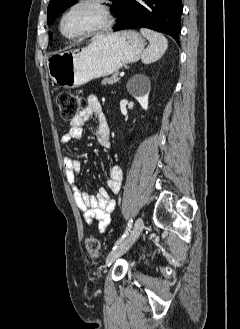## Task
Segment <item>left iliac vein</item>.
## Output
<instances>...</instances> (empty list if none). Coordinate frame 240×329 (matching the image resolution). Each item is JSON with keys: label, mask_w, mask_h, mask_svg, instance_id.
Masks as SVG:
<instances>
[{"label": "left iliac vein", "mask_w": 240, "mask_h": 329, "mask_svg": "<svg viewBox=\"0 0 240 329\" xmlns=\"http://www.w3.org/2000/svg\"><path fill=\"white\" fill-rule=\"evenodd\" d=\"M143 228H144V222L142 218L139 217L134 224L131 234L121 244H119L116 249H113L108 254L106 262L108 264H111L114 261H116L121 255H123L139 237Z\"/></svg>", "instance_id": "4c4485c4"}]
</instances>
